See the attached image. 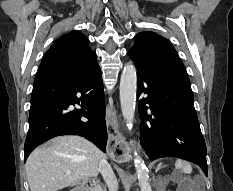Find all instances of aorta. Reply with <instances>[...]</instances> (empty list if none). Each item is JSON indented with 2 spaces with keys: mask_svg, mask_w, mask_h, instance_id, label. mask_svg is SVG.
I'll return each mask as SVG.
<instances>
[{
  "mask_svg": "<svg viewBox=\"0 0 233 191\" xmlns=\"http://www.w3.org/2000/svg\"><path fill=\"white\" fill-rule=\"evenodd\" d=\"M120 103L123 117L127 123L129 130L133 126L136 91H137V74L133 64L128 63L124 66L120 79ZM137 178L139 181L140 191H152L148 169L144 160L135 152L134 159Z\"/></svg>",
  "mask_w": 233,
  "mask_h": 191,
  "instance_id": "1",
  "label": "aorta"
}]
</instances>
